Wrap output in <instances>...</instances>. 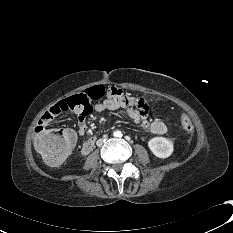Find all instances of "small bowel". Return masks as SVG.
<instances>
[{"mask_svg":"<svg viewBox=\"0 0 233 233\" xmlns=\"http://www.w3.org/2000/svg\"><path fill=\"white\" fill-rule=\"evenodd\" d=\"M107 97V98H106ZM102 101L93 105L88 112L73 110L79 119L77 133L83 135L87 131L85 117L92 112L122 110L136 123L140 124L149 133L163 135L167 132V126L160 120H147L152 115L151 104L143 98H136L133 94L126 93L118 86L109 89L108 95ZM66 111L61 102L51 106L40 118L36 128H46L58 115ZM73 135L74 132L72 131ZM96 138L92 137L79 145V152L82 155H89L96 145Z\"/></svg>","mask_w":233,"mask_h":233,"instance_id":"small-bowel-1","label":"small bowel"}]
</instances>
